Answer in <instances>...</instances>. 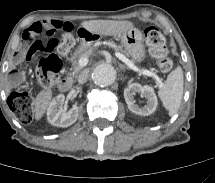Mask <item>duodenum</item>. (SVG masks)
I'll return each mask as SVG.
<instances>
[{
	"instance_id": "obj_1",
	"label": "duodenum",
	"mask_w": 215,
	"mask_h": 183,
	"mask_svg": "<svg viewBox=\"0 0 215 183\" xmlns=\"http://www.w3.org/2000/svg\"><path fill=\"white\" fill-rule=\"evenodd\" d=\"M73 81L71 78L63 79L59 82V89L63 92L68 91L72 87Z\"/></svg>"
}]
</instances>
